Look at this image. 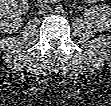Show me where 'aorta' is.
<instances>
[{
	"label": "aorta",
	"instance_id": "obj_1",
	"mask_svg": "<svg viewBox=\"0 0 111 106\" xmlns=\"http://www.w3.org/2000/svg\"><path fill=\"white\" fill-rule=\"evenodd\" d=\"M55 10L57 13H62L64 11L62 5H57Z\"/></svg>",
	"mask_w": 111,
	"mask_h": 106
}]
</instances>
